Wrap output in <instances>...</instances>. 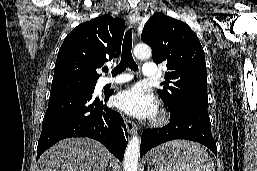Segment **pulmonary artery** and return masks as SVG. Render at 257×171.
Wrapping results in <instances>:
<instances>
[{
    "label": "pulmonary artery",
    "mask_w": 257,
    "mask_h": 171,
    "mask_svg": "<svg viewBox=\"0 0 257 171\" xmlns=\"http://www.w3.org/2000/svg\"><path fill=\"white\" fill-rule=\"evenodd\" d=\"M142 73L146 77H153L157 74V66L153 62H145L143 65ZM132 75L130 74H120L117 77L111 78H104L102 81L103 85L106 84H121L132 80Z\"/></svg>",
    "instance_id": "obj_1"
}]
</instances>
